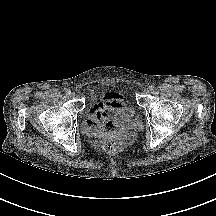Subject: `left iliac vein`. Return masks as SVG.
<instances>
[{"label":"left iliac vein","mask_w":216,"mask_h":216,"mask_svg":"<svg viewBox=\"0 0 216 216\" xmlns=\"http://www.w3.org/2000/svg\"><path fill=\"white\" fill-rule=\"evenodd\" d=\"M143 93L144 94H149L150 93V88L149 87L144 88Z\"/></svg>","instance_id":"1"}]
</instances>
